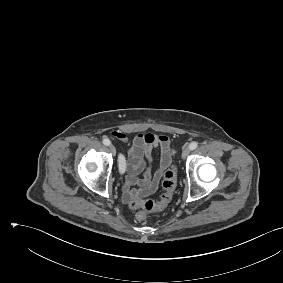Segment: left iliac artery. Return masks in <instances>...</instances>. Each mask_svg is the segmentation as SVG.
I'll use <instances>...</instances> for the list:
<instances>
[{"mask_svg":"<svg viewBox=\"0 0 283 283\" xmlns=\"http://www.w3.org/2000/svg\"><path fill=\"white\" fill-rule=\"evenodd\" d=\"M198 146V143L197 142H191L190 145H189V149L190 150H194L196 149Z\"/></svg>","mask_w":283,"mask_h":283,"instance_id":"obj_1","label":"left iliac artery"}]
</instances>
